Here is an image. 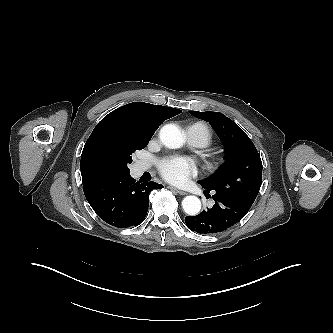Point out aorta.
Segmentation results:
<instances>
[{"instance_id":"obj_1","label":"aorta","mask_w":333,"mask_h":333,"mask_svg":"<svg viewBox=\"0 0 333 333\" xmlns=\"http://www.w3.org/2000/svg\"><path fill=\"white\" fill-rule=\"evenodd\" d=\"M160 140L166 147L177 149L183 145L185 138L176 125L166 124L160 130ZM182 207L186 214L194 216L201 210V201L198 197L189 195L183 199Z\"/></svg>"}]
</instances>
